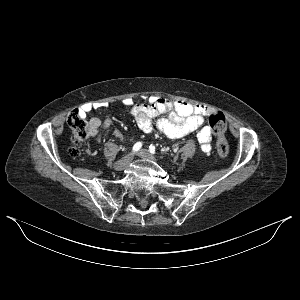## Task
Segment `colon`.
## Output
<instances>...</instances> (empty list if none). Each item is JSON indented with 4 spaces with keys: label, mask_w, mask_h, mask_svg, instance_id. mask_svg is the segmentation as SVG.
I'll return each mask as SVG.
<instances>
[{
    "label": "colon",
    "mask_w": 300,
    "mask_h": 300,
    "mask_svg": "<svg viewBox=\"0 0 300 300\" xmlns=\"http://www.w3.org/2000/svg\"><path fill=\"white\" fill-rule=\"evenodd\" d=\"M67 123L74 133V144L69 149L72 157H78L81 153L82 142L88 137V125L83 119L80 110H73L67 117ZM209 128L217 136L216 151L221 158L229 154V144L223 137L226 128V118L222 112H214L208 118Z\"/></svg>",
    "instance_id": "5ec220e1"
}]
</instances>
